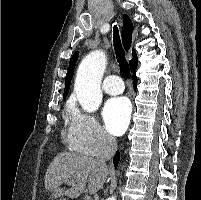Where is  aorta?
<instances>
[{
  "mask_svg": "<svg viewBox=\"0 0 201 200\" xmlns=\"http://www.w3.org/2000/svg\"><path fill=\"white\" fill-rule=\"evenodd\" d=\"M106 55L101 50L89 53L80 63L74 89L77 99L86 112L98 110L102 102L101 81L106 67ZM107 200H116L115 196Z\"/></svg>",
  "mask_w": 201,
  "mask_h": 200,
  "instance_id": "1",
  "label": "aorta"
}]
</instances>
